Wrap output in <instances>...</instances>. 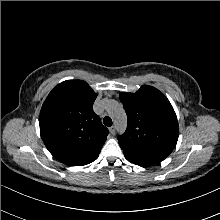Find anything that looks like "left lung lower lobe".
<instances>
[{
  "label": "left lung lower lobe",
  "mask_w": 220,
  "mask_h": 220,
  "mask_svg": "<svg viewBox=\"0 0 220 220\" xmlns=\"http://www.w3.org/2000/svg\"><path fill=\"white\" fill-rule=\"evenodd\" d=\"M130 162H132V163H134V164H137V165H140V166H148V165H146V164H144V163H142V162H138V161H135V160H133L132 158H130V157H126Z\"/></svg>",
  "instance_id": "0a47b994"
}]
</instances>
